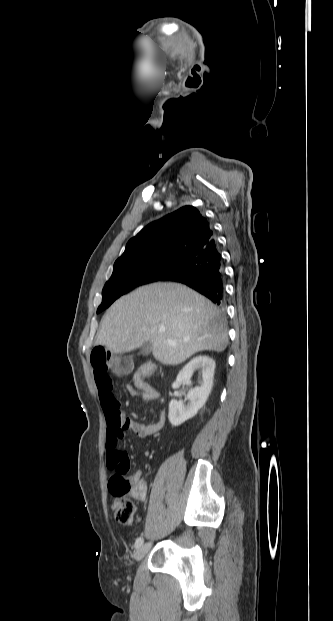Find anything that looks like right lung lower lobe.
Instances as JSON below:
<instances>
[{"label": "right lung lower lobe", "instance_id": "obj_1", "mask_svg": "<svg viewBox=\"0 0 333 621\" xmlns=\"http://www.w3.org/2000/svg\"><path fill=\"white\" fill-rule=\"evenodd\" d=\"M161 281L183 283L206 296L218 307H223L225 275L215 238L188 255L174 273Z\"/></svg>", "mask_w": 333, "mask_h": 621}]
</instances>
